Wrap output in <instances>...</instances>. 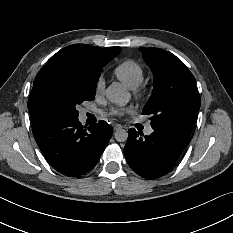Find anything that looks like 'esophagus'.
Returning <instances> with one entry per match:
<instances>
[{"instance_id": "34e87169", "label": "esophagus", "mask_w": 233, "mask_h": 233, "mask_svg": "<svg viewBox=\"0 0 233 233\" xmlns=\"http://www.w3.org/2000/svg\"><path fill=\"white\" fill-rule=\"evenodd\" d=\"M122 129V125L121 124H113V131H118Z\"/></svg>"}]
</instances>
